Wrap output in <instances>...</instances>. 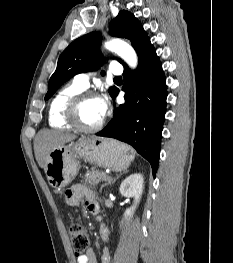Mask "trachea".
I'll return each mask as SVG.
<instances>
[{
  "label": "trachea",
  "instance_id": "trachea-1",
  "mask_svg": "<svg viewBox=\"0 0 233 263\" xmlns=\"http://www.w3.org/2000/svg\"><path fill=\"white\" fill-rule=\"evenodd\" d=\"M114 81H122V78L121 77H115Z\"/></svg>",
  "mask_w": 233,
  "mask_h": 263
}]
</instances>
